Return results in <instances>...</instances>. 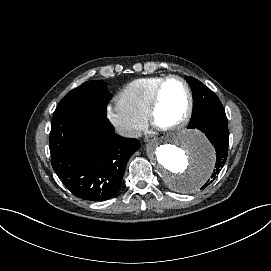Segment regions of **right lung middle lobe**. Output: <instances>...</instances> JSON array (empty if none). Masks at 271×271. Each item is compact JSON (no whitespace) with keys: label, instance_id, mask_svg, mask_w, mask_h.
Segmentation results:
<instances>
[{"label":"right lung middle lobe","instance_id":"obj_1","mask_svg":"<svg viewBox=\"0 0 271 271\" xmlns=\"http://www.w3.org/2000/svg\"><path fill=\"white\" fill-rule=\"evenodd\" d=\"M111 94L102 81H88L71 90L58 104L54 116L71 109H89L106 113Z\"/></svg>","mask_w":271,"mask_h":271}]
</instances>
